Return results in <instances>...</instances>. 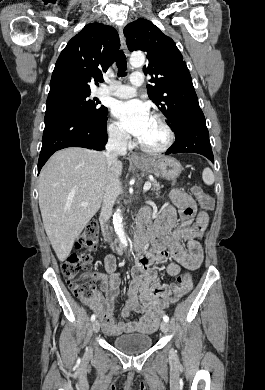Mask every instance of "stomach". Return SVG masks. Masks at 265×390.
I'll return each instance as SVG.
<instances>
[{"label": "stomach", "mask_w": 265, "mask_h": 390, "mask_svg": "<svg viewBox=\"0 0 265 390\" xmlns=\"http://www.w3.org/2000/svg\"><path fill=\"white\" fill-rule=\"evenodd\" d=\"M135 166L144 172L152 173L168 180H174L182 171L180 162L173 157H163L158 160L145 158L142 162L135 164Z\"/></svg>", "instance_id": "0dacf381"}]
</instances>
